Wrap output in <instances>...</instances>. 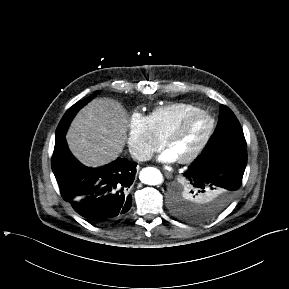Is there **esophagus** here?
Returning <instances> with one entry per match:
<instances>
[{"label":"esophagus","mask_w":289,"mask_h":289,"mask_svg":"<svg viewBox=\"0 0 289 289\" xmlns=\"http://www.w3.org/2000/svg\"><path fill=\"white\" fill-rule=\"evenodd\" d=\"M164 174L167 178H172V174L170 172L165 171Z\"/></svg>","instance_id":"esophagus-1"}]
</instances>
